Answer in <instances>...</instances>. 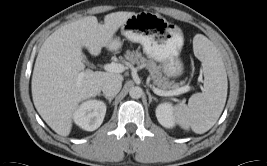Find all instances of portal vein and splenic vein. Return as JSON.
<instances>
[{"label": "portal vein and splenic vein", "instance_id": "18ae733b", "mask_svg": "<svg viewBox=\"0 0 267 166\" xmlns=\"http://www.w3.org/2000/svg\"><path fill=\"white\" fill-rule=\"evenodd\" d=\"M104 70L107 72H112V73H122L125 70L124 65L120 64V63H107L103 66ZM84 74L80 73L78 79L81 81V79L83 78ZM191 89L190 86H183L181 88L175 89V90H171V91H164V90H160L158 88L153 87V91L160 96H173V95H179L185 92H188Z\"/></svg>", "mask_w": 267, "mask_h": 166}]
</instances>
